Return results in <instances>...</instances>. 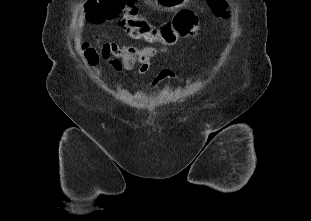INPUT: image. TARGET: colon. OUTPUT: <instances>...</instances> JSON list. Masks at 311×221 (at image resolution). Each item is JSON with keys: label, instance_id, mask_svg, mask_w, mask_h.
<instances>
[{"label": "colon", "instance_id": "colon-1", "mask_svg": "<svg viewBox=\"0 0 311 221\" xmlns=\"http://www.w3.org/2000/svg\"><path fill=\"white\" fill-rule=\"evenodd\" d=\"M204 2L217 20L231 16V11L224 10L221 2H217V0H204ZM142 14L143 12L137 7L135 0L90 1L87 15L83 16V21L93 22L94 26H103L104 22H114V17H122L119 25L123 32L136 29L140 34L133 35V37L141 38L143 33L144 38L153 42L154 47H159L163 43H174L179 38L195 36L199 31L198 21L188 11L176 13L172 20L164 22L160 27L138 23V17ZM82 49L85 56L94 64L100 59H107L113 52L108 44L102 42L97 46H90L86 43Z\"/></svg>", "mask_w": 311, "mask_h": 221}]
</instances>
